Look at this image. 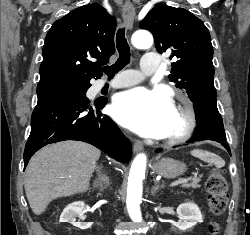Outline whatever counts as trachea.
Masks as SVG:
<instances>
[{"label": "trachea", "mask_w": 250, "mask_h": 235, "mask_svg": "<svg viewBox=\"0 0 250 235\" xmlns=\"http://www.w3.org/2000/svg\"><path fill=\"white\" fill-rule=\"evenodd\" d=\"M116 47L119 53V58L115 64L111 66L103 67V72L109 77H113L118 73L122 68L130 62V47L125 38V29H119L116 35Z\"/></svg>", "instance_id": "obj_1"}]
</instances>
